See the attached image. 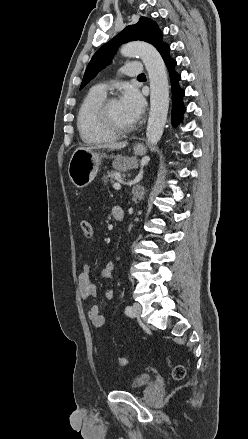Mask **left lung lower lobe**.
Here are the masks:
<instances>
[{"instance_id":"obj_1","label":"left lung lower lobe","mask_w":248,"mask_h":439,"mask_svg":"<svg viewBox=\"0 0 248 439\" xmlns=\"http://www.w3.org/2000/svg\"><path fill=\"white\" fill-rule=\"evenodd\" d=\"M169 46L166 45L159 52L165 61L168 70L170 72L171 84H172V121L174 124H177L182 119V115L185 111V107L182 103V97L185 92L178 86V81L181 79V76L177 74L172 68L176 65V61L169 56Z\"/></svg>"}]
</instances>
